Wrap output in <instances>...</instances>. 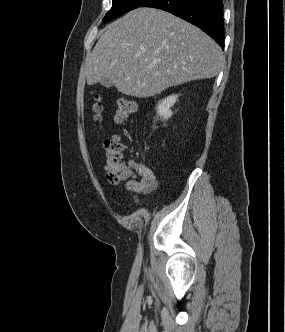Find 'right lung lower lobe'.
<instances>
[{
	"label": "right lung lower lobe",
	"instance_id": "right-lung-lower-lobe-1",
	"mask_svg": "<svg viewBox=\"0 0 285 332\" xmlns=\"http://www.w3.org/2000/svg\"><path fill=\"white\" fill-rule=\"evenodd\" d=\"M140 7L168 11L199 27L224 48L222 0H146Z\"/></svg>",
	"mask_w": 285,
	"mask_h": 332
}]
</instances>
